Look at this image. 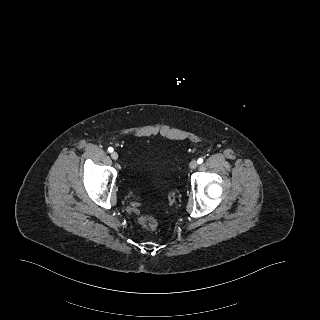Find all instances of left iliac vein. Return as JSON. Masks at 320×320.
Instances as JSON below:
<instances>
[{
  "instance_id": "obj_1",
  "label": "left iliac vein",
  "mask_w": 320,
  "mask_h": 320,
  "mask_svg": "<svg viewBox=\"0 0 320 320\" xmlns=\"http://www.w3.org/2000/svg\"><path fill=\"white\" fill-rule=\"evenodd\" d=\"M198 166V162L196 160H192L189 164L191 169H195Z\"/></svg>"
}]
</instances>
